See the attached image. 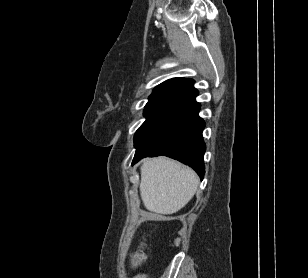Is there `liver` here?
Wrapping results in <instances>:
<instances>
[{
    "label": "liver",
    "mask_w": 308,
    "mask_h": 278,
    "mask_svg": "<svg viewBox=\"0 0 308 278\" xmlns=\"http://www.w3.org/2000/svg\"><path fill=\"white\" fill-rule=\"evenodd\" d=\"M140 169L141 199L151 212L176 213L192 199L199 184L191 168L167 157L144 159Z\"/></svg>",
    "instance_id": "6515ba94"
}]
</instances>
